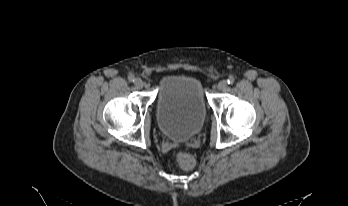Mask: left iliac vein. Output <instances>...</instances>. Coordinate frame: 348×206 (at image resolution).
<instances>
[{
  "label": "left iliac vein",
  "instance_id": "left-iliac-vein-1",
  "mask_svg": "<svg viewBox=\"0 0 348 206\" xmlns=\"http://www.w3.org/2000/svg\"><path fill=\"white\" fill-rule=\"evenodd\" d=\"M217 87L221 91L225 90L227 88V81L226 80L219 81Z\"/></svg>",
  "mask_w": 348,
  "mask_h": 206
}]
</instances>
